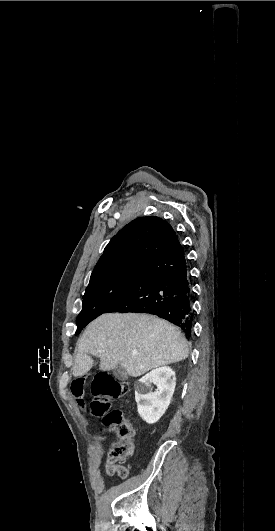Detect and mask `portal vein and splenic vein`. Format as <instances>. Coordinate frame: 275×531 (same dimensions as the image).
I'll use <instances>...</instances> for the list:
<instances>
[{
	"label": "portal vein and splenic vein",
	"mask_w": 275,
	"mask_h": 531,
	"mask_svg": "<svg viewBox=\"0 0 275 531\" xmlns=\"http://www.w3.org/2000/svg\"><path fill=\"white\" fill-rule=\"evenodd\" d=\"M135 355H137V353H133V357H135Z\"/></svg>",
	"instance_id": "1"
}]
</instances>
